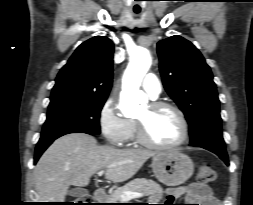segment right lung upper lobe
Segmentation results:
<instances>
[{
  "mask_svg": "<svg viewBox=\"0 0 253 205\" xmlns=\"http://www.w3.org/2000/svg\"><path fill=\"white\" fill-rule=\"evenodd\" d=\"M112 41L95 36L75 50L60 70L51 100L64 97H108L113 77Z\"/></svg>",
  "mask_w": 253,
  "mask_h": 205,
  "instance_id": "right-lung-upper-lobe-1",
  "label": "right lung upper lobe"
}]
</instances>
